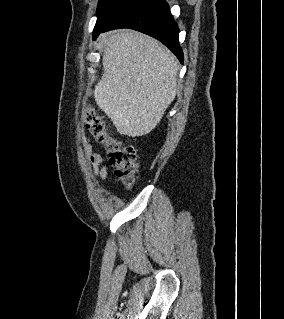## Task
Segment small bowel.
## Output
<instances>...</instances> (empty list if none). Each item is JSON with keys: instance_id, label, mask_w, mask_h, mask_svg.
Segmentation results:
<instances>
[{"instance_id": "obj_1", "label": "small bowel", "mask_w": 284, "mask_h": 319, "mask_svg": "<svg viewBox=\"0 0 284 319\" xmlns=\"http://www.w3.org/2000/svg\"><path fill=\"white\" fill-rule=\"evenodd\" d=\"M85 152L90 160L95 176L105 179L107 177L108 169L107 167H100L102 163V157L93 151L92 144L88 139L85 140Z\"/></svg>"}]
</instances>
